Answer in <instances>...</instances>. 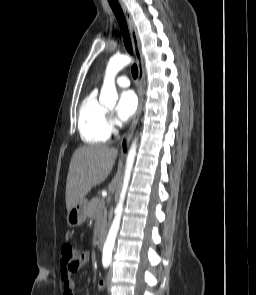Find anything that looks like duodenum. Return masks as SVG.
<instances>
[{"label": "duodenum", "mask_w": 256, "mask_h": 295, "mask_svg": "<svg viewBox=\"0 0 256 295\" xmlns=\"http://www.w3.org/2000/svg\"><path fill=\"white\" fill-rule=\"evenodd\" d=\"M104 242H105V234L101 233L99 238H98V242H97V247L100 251L103 250L104 247Z\"/></svg>", "instance_id": "obj_1"}]
</instances>
